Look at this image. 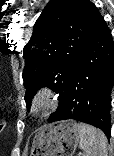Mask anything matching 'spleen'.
Segmentation results:
<instances>
[{"label": "spleen", "instance_id": "3e777b00", "mask_svg": "<svg viewBox=\"0 0 114 156\" xmlns=\"http://www.w3.org/2000/svg\"><path fill=\"white\" fill-rule=\"evenodd\" d=\"M77 130L82 156H108L107 139L102 131L85 123H78Z\"/></svg>", "mask_w": 114, "mask_h": 156}]
</instances>
